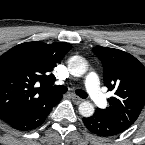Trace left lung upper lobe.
I'll return each mask as SVG.
<instances>
[{
	"label": "left lung upper lobe",
	"instance_id": "left-lung-upper-lobe-1",
	"mask_svg": "<svg viewBox=\"0 0 145 145\" xmlns=\"http://www.w3.org/2000/svg\"><path fill=\"white\" fill-rule=\"evenodd\" d=\"M101 60L104 84L114 96L106 109H99L106 119L123 130L138 118L145 104V67L131 54L108 47H94Z\"/></svg>",
	"mask_w": 145,
	"mask_h": 145
}]
</instances>
